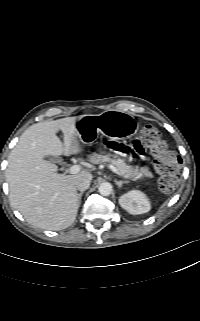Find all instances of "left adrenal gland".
<instances>
[{"label": "left adrenal gland", "mask_w": 200, "mask_h": 321, "mask_svg": "<svg viewBox=\"0 0 200 321\" xmlns=\"http://www.w3.org/2000/svg\"><path fill=\"white\" fill-rule=\"evenodd\" d=\"M115 183H116V185L118 186V188H121L122 185L128 183V181H121V180H120V181H116V180H115Z\"/></svg>", "instance_id": "1"}]
</instances>
